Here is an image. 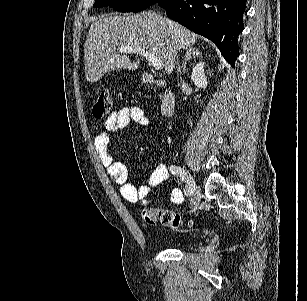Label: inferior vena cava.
<instances>
[{
	"label": "inferior vena cava",
	"instance_id": "inferior-vena-cava-1",
	"mask_svg": "<svg viewBox=\"0 0 307 301\" xmlns=\"http://www.w3.org/2000/svg\"><path fill=\"white\" fill-rule=\"evenodd\" d=\"M179 50H180V48H177L176 56L174 58L175 64H176V68H177V72H180V64H179V60H178V58H179V54H178ZM181 80H182V78H181Z\"/></svg>",
	"mask_w": 307,
	"mask_h": 301
}]
</instances>
